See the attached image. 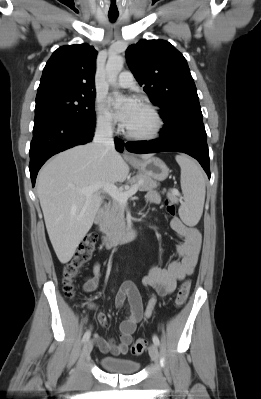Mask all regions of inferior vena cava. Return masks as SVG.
<instances>
[{
    "label": "inferior vena cava",
    "instance_id": "1",
    "mask_svg": "<svg viewBox=\"0 0 261 399\" xmlns=\"http://www.w3.org/2000/svg\"><path fill=\"white\" fill-rule=\"evenodd\" d=\"M93 141L105 147L106 150H114L113 129L109 121L97 125Z\"/></svg>",
    "mask_w": 261,
    "mask_h": 399
}]
</instances>
